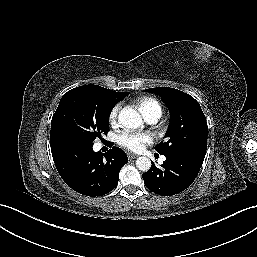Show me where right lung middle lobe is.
I'll return each instance as SVG.
<instances>
[{
  "mask_svg": "<svg viewBox=\"0 0 257 257\" xmlns=\"http://www.w3.org/2000/svg\"><path fill=\"white\" fill-rule=\"evenodd\" d=\"M119 100L98 85H83L66 92L51 121L50 143L67 140L93 143L109 131V116Z\"/></svg>",
  "mask_w": 257,
  "mask_h": 257,
  "instance_id": "right-lung-middle-lobe-1",
  "label": "right lung middle lobe"
}]
</instances>
